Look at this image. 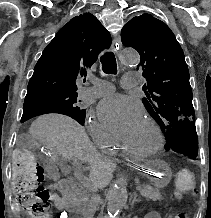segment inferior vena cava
I'll list each match as a JSON object with an SVG mask.
<instances>
[{
  "mask_svg": "<svg viewBox=\"0 0 211 218\" xmlns=\"http://www.w3.org/2000/svg\"><path fill=\"white\" fill-rule=\"evenodd\" d=\"M99 188H102V184H100V182H92V192H98ZM96 198H98L97 194H92L91 200H89L88 204L89 210H93L96 204Z\"/></svg>",
  "mask_w": 211,
  "mask_h": 218,
  "instance_id": "inferior-vena-cava-1",
  "label": "inferior vena cava"
}]
</instances>
